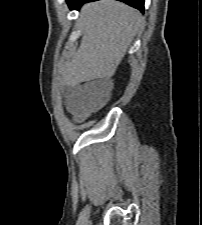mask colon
<instances>
[{"instance_id": "1", "label": "colon", "mask_w": 202, "mask_h": 225, "mask_svg": "<svg viewBox=\"0 0 202 225\" xmlns=\"http://www.w3.org/2000/svg\"><path fill=\"white\" fill-rule=\"evenodd\" d=\"M78 89L88 95V102L91 108H98L106 103L113 88L112 86L102 85L99 82H90L79 85Z\"/></svg>"}]
</instances>
